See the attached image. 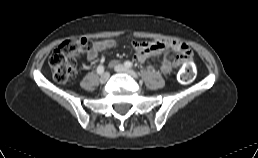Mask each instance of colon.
Here are the masks:
<instances>
[{
  "label": "colon",
  "mask_w": 258,
  "mask_h": 158,
  "mask_svg": "<svg viewBox=\"0 0 258 158\" xmlns=\"http://www.w3.org/2000/svg\"><path fill=\"white\" fill-rule=\"evenodd\" d=\"M91 42L86 38L67 39L63 41L49 58V66L53 77L58 83H66L76 70V60L87 51ZM194 78V70L191 60L185 63V67L179 73V80L190 83Z\"/></svg>",
  "instance_id": "colon-1"
}]
</instances>
